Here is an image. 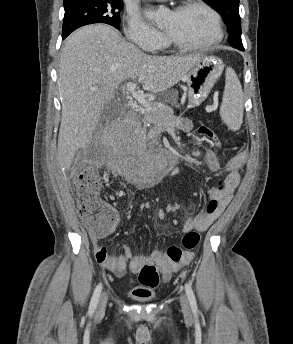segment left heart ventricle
Wrapping results in <instances>:
<instances>
[{
  "mask_svg": "<svg viewBox=\"0 0 293 344\" xmlns=\"http://www.w3.org/2000/svg\"><path fill=\"white\" fill-rule=\"evenodd\" d=\"M163 29L189 44L206 43L215 34L212 17L201 8H191L181 13L170 12L164 20Z\"/></svg>",
  "mask_w": 293,
  "mask_h": 344,
  "instance_id": "obj_1",
  "label": "left heart ventricle"
}]
</instances>
